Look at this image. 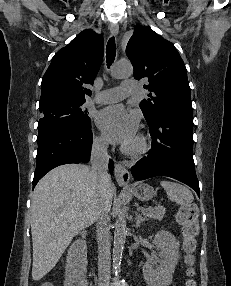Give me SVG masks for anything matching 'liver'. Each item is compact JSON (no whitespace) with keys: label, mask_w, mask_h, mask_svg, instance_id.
Returning <instances> with one entry per match:
<instances>
[{"label":"liver","mask_w":231,"mask_h":286,"mask_svg":"<svg viewBox=\"0 0 231 286\" xmlns=\"http://www.w3.org/2000/svg\"><path fill=\"white\" fill-rule=\"evenodd\" d=\"M114 186H103L105 207L110 210ZM97 180L90 167L61 165L36 185L31 199L33 243L32 278L42 279L57 264L67 246L93 220Z\"/></svg>","instance_id":"obj_1"}]
</instances>
